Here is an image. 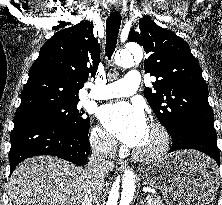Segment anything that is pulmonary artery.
Wrapping results in <instances>:
<instances>
[{"mask_svg":"<svg viewBox=\"0 0 222 205\" xmlns=\"http://www.w3.org/2000/svg\"><path fill=\"white\" fill-rule=\"evenodd\" d=\"M139 83L138 71L131 69L124 78L116 82L93 87L89 92V97L96 100H105L130 96L137 91Z\"/></svg>","mask_w":222,"mask_h":205,"instance_id":"e3ab8cb5","label":"pulmonary artery"}]
</instances>
